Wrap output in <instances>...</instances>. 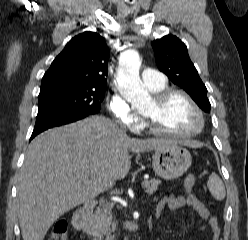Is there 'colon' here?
I'll use <instances>...</instances> for the list:
<instances>
[{
    "label": "colon",
    "instance_id": "colon-1",
    "mask_svg": "<svg viewBox=\"0 0 248 240\" xmlns=\"http://www.w3.org/2000/svg\"><path fill=\"white\" fill-rule=\"evenodd\" d=\"M196 183V178L194 175H188L184 181V190L186 193H190ZM47 240H67V222L64 220L57 221Z\"/></svg>",
    "mask_w": 248,
    "mask_h": 240
}]
</instances>
